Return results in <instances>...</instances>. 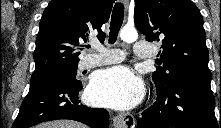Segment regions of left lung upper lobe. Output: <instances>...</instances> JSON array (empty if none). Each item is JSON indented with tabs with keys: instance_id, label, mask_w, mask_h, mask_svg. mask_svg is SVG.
<instances>
[{
	"instance_id": "obj_1",
	"label": "left lung upper lobe",
	"mask_w": 221,
	"mask_h": 128,
	"mask_svg": "<svg viewBox=\"0 0 221 128\" xmlns=\"http://www.w3.org/2000/svg\"><path fill=\"white\" fill-rule=\"evenodd\" d=\"M134 21L149 42L161 41L153 73L159 92L184 80L211 81L200 11L191 0H135Z\"/></svg>"
}]
</instances>
